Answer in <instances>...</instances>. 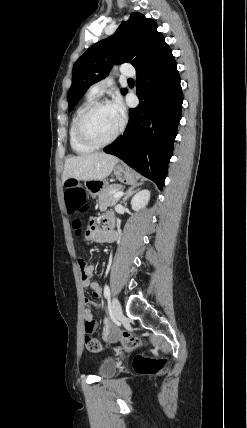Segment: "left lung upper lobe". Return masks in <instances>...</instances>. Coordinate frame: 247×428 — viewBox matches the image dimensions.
<instances>
[{
  "mask_svg": "<svg viewBox=\"0 0 247 428\" xmlns=\"http://www.w3.org/2000/svg\"><path fill=\"white\" fill-rule=\"evenodd\" d=\"M156 29L157 25L152 19L132 13L112 36L91 46L74 64L72 85L68 92V111L73 109L92 84L108 75L113 65L129 62L138 69L169 48ZM121 92L126 94L127 90Z\"/></svg>",
  "mask_w": 247,
  "mask_h": 428,
  "instance_id": "5c2ea615",
  "label": "left lung upper lobe"
}]
</instances>
